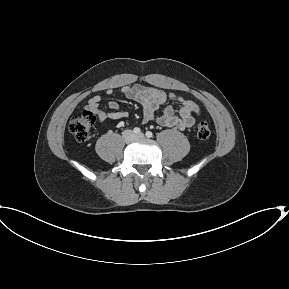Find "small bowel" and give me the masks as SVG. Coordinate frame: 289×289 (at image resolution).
Listing matches in <instances>:
<instances>
[{
	"label": "small bowel",
	"instance_id": "obj_1",
	"mask_svg": "<svg viewBox=\"0 0 289 289\" xmlns=\"http://www.w3.org/2000/svg\"><path fill=\"white\" fill-rule=\"evenodd\" d=\"M113 93L112 89L107 90V94L111 95ZM120 93L124 97L141 104L144 122L153 121L162 126L185 130L194 125L196 117L200 114L199 107L194 101L175 93H166L154 87L125 86L120 89ZM168 102L178 105V113H176L173 105L169 104L161 114L157 115L158 108ZM105 107L106 109L101 107V97L99 95H94L86 105V109L96 114L101 123L108 119H122L128 115L127 112L120 109L116 101L107 102Z\"/></svg>",
	"mask_w": 289,
	"mask_h": 289
}]
</instances>
